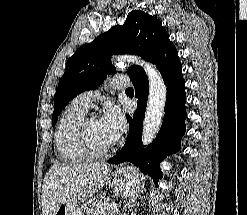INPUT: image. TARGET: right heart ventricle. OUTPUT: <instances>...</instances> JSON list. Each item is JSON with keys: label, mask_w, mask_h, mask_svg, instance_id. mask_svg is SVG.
<instances>
[{"label": "right heart ventricle", "mask_w": 247, "mask_h": 215, "mask_svg": "<svg viewBox=\"0 0 247 215\" xmlns=\"http://www.w3.org/2000/svg\"><path fill=\"white\" fill-rule=\"evenodd\" d=\"M87 110L74 101L62 113L55 131V143L61 159L68 163H79L90 157L79 141L78 126Z\"/></svg>", "instance_id": "e07e8e85"}]
</instances>
